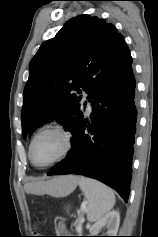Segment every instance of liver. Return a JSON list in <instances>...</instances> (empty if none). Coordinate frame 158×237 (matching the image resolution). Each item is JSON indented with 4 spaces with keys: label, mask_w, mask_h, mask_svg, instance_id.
I'll use <instances>...</instances> for the list:
<instances>
[{
    "label": "liver",
    "mask_w": 158,
    "mask_h": 237,
    "mask_svg": "<svg viewBox=\"0 0 158 237\" xmlns=\"http://www.w3.org/2000/svg\"><path fill=\"white\" fill-rule=\"evenodd\" d=\"M78 176H59L47 181H34L25 184V190L27 193H33L37 195L49 194L57 196L64 191L72 192L78 182Z\"/></svg>",
    "instance_id": "1"
}]
</instances>
